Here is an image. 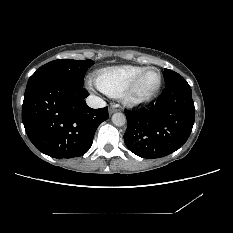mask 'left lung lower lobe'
Listing matches in <instances>:
<instances>
[{
  "label": "left lung lower lobe",
  "mask_w": 233,
  "mask_h": 233,
  "mask_svg": "<svg viewBox=\"0 0 233 233\" xmlns=\"http://www.w3.org/2000/svg\"><path fill=\"white\" fill-rule=\"evenodd\" d=\"M126 146L142 158H158L178 150L189 138L195 107L191 87L184 78L166 85L147 109L125 112Z\"/></svg>",
  "instance_id": "1"
}]
</instances>
